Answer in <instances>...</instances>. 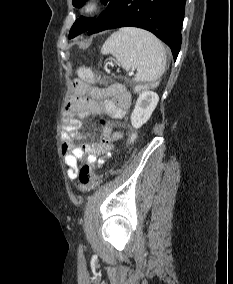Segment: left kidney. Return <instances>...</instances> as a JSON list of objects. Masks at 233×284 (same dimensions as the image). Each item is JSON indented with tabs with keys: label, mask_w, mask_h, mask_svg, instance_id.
<instances>
[{
	"label": "left kidney",
	"mask_w": 233,
	"mask_h": 284,
	"mask_svg": "<svg viewBox=\"0 0 233 284\" xmlns=\"http://www.w3.org/2000/svg\"><path fill=\"white\" fill-rule=\"evenodd\" d=\"M159 101L156 93L144 90L139 94L135 108L131 114V124L138 129L151 117Z\"/></svg>",
	"instance_id": "left-kidney-1"
}]
</instances>
